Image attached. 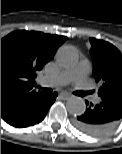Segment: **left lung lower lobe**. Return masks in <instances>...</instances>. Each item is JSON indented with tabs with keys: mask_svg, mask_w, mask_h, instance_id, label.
<instances>
[{
	"mask_svg": "<svg viewBox=\"0 0 122 154\" xmlns=\"http://www.w3.org/2000/svg\"><path fill=\"white\" fill-rule=\"evenodd\" d=\"M88 105V102L86 101ZM122 120V93L101 97L96 105H90L86 111L74 119V126L93 136L111 131Z\"/></svg>",
	"mask_w": 122,
	"mask_h": 154,
	"instance_id": "left-lung-lower-lobe-1",
	"label": "left lung lower lobe"
}]
</instances>
